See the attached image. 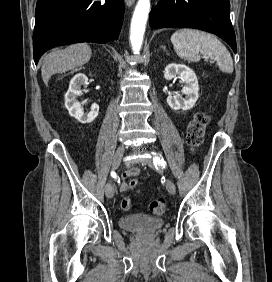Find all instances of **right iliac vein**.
<instances>
[{"label":"right iliac vein","mask_w":272,"mask_h":282,"mask_svg":"<svg viewBox=\"0 0 272 282\" xmlns=\"http://www.w3.org/2000/svg\"><path fill=\"white\" fill-rule=\"evenodd\" d=\"M124 153H125V146L122 144L116 149V152L114 154L113 162H112L113 170L119 167L121 160L124 156ZM114 193H115L114 185L112 181H110L105 190L106 197L112 198L114 196Z\"/></svg>","instance_id":"1"}]
</instances>
